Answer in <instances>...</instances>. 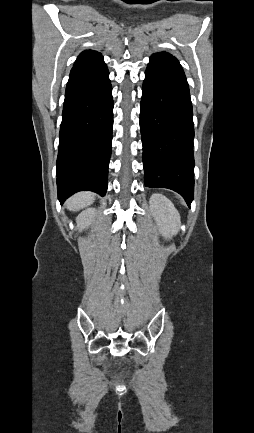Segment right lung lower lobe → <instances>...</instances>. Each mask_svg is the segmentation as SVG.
Returning a JSON list of instances; mask_svg holds the SVG:
<instances>
[{"instance_id": "1", "label": "right lung lower lobe", "mask_w": 254, "mask_h": 433, "mask_svg": "<svg viewBox=\"0 0 254 433\" xmlns=\"http://www.w3.org/2000/svg\"><path fill=\"white\" fill-rule=\"evenodd\" d=\"M113 98L103 57L75 65L66 86L57 157L58 199L90 190L104 196L111 156Z\"/></svg>"}]
</instances>
